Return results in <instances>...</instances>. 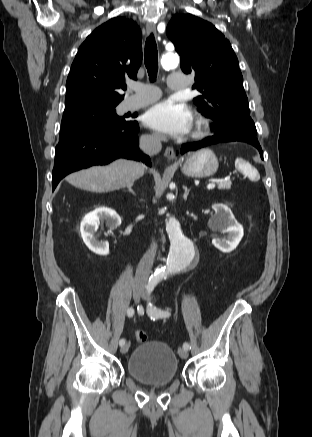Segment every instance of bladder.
Instances as JSON below:
<instances>
[{"mask_svg":"<svg viewBox=\"0 0 312 437\" xmlns=\"http://www.w3.org/2000/svg\"><path fill=\"white\" fill-rule=\"evenodd\" d=\"M127 372L136 381L166 385L178 375V361L172 348L162 341L139 344L127 360Z\"/></svg>","mask_w":312,"mask_h":437,"instance_id":"1","label":"bladder"}]
</instances>
